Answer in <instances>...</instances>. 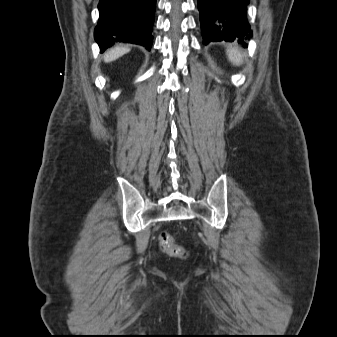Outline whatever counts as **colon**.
<instances>
[{
    "instance_id": "1",
    "label": "colon",
    "mask_w": 337,
    "mask_h": 337,
    "mask_svg": "<svg viewBox=\"0 0 337 337\" xmlns=\"http://www.w3.org/2000/svg\"><path fill=\"white\" fill-rule=\"evenodd\" d=\"M159 246L163 252L170 253L176 256H184L186 252L177 245L172 235L169 232H162L159 236Z\"/></svg>"
}]
</instances>
